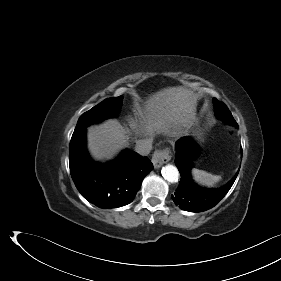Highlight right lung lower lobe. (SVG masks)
<instances>
[{"instance_id":"1","label":"right lung lower lobe","mask_w":281,"mask_h":281,"mask_svg":"<svg viewBox=\"0 0 281 281\" xmlns=\"http://www.w3.org/2000/svg\"><path fill=\"white\" fill-rule=\"evenodd\" d=\"M86 128L74 131L69 147L71 177L81 195L99 208L130 203L153 169L146 157L125 150L109 163H94L86 150Z\"/></svg>"}]
</instances>
